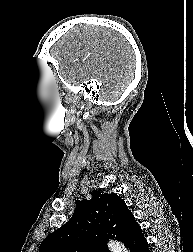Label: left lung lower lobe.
<instances>
[{
	"label": "left lung lower lobe",
	"instance_id": "left-lung-lower-lobe-1",
	"mask_svg": "<svg viewBox=\"0 0 193 252\" xmlns=\"http://www.w3.org/2000/svg\"><path fill=\"white\" fill-rule=\"evenodd\" d=\"M127 247L131 252H149L147 240L139 225L133 230Z\"/></svg>",
	"mask_w": 193,
	"mask_h": 252
}]
</instances>
